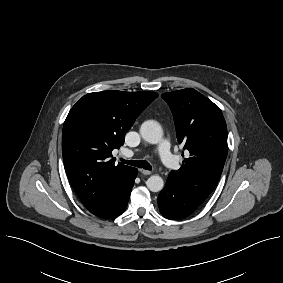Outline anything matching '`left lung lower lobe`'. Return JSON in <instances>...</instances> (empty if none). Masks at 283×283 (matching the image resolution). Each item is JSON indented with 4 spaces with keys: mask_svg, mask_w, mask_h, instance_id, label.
<instances>
[{
    "mask_svg": "<svg viewBox=\"0 0 283 283\" xmlns=\"http://www.w3.org/2000/svg\"><path fill=\"white\" fill-rule=\"evenodd\" d=\"M200 204L192 200L171 176L158 196L161 214L168 219H178L192 214Z\"/></svg>",
    "mask_w": 283,
    "mask_h": 283,
    "instance_id": "left-lung-lower-lobe-1",
    "label": "left lung lower lobe"
}]
</instances>
